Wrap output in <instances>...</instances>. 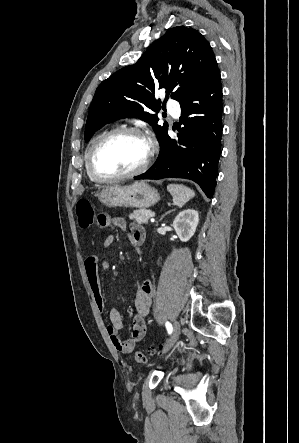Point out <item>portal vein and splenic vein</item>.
Segmentation results:
<instances>
[{
    "instance_id": "1",
    "label": "portal vein and splenic vein",
    "mask_w": 299,
    "mask_h": 443,
    "mask_svg": "<svg viewBox=\"0 0 299 443\" xmlns=\"http://www.w3.org/2000/svg\"><path fill=\"white\" fill-rule=\"evenodd\" d=\"M148 215H149L150 217H154V216H155V213L150 212Z\"/></svg>"
}]
</instances>
